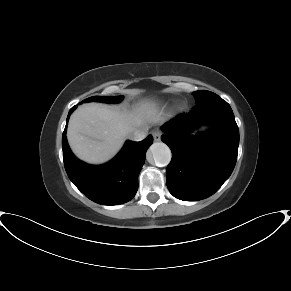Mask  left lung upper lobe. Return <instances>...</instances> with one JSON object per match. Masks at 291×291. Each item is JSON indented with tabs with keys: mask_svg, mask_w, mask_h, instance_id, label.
I'll return each instance as SVG.
<instances>
[{
	"mask_svg": "<svg viewBox=\"0 0 291 291\" xmlns=\"http://www.w3.org/2000/svg\"><path fill=\"white\" fill-rule=\"evenodd\" d=\"M193 95L196 99L197 104L218 96L215 93L207 91V90H200V91L193 92Z\"/></svg>",
	"mask_w": 291,
	"mask_h": 291,
	"instance_id": "5c2ea615",
	"label": "left lung upper lobe"
}]
</instances>
